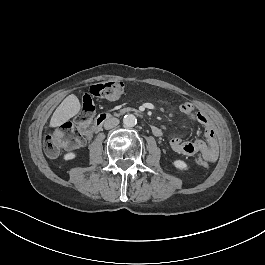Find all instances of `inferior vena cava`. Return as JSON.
<instances>
[{"mask_svg": "<svg viewBox=\"0 0 265 265\" xmlns=\"http://www.w3.org/2000/svg\"><path fill=\"white\" fill-rule=\"evenodd\" d=\"M119 124L118 118H108L104 122V129L110 130Z\"/></svg>", "mask_w": 265, "mask_h": 265, "instance_id": "602c4592", "label": "inferior vena cava"}]
</instances>
